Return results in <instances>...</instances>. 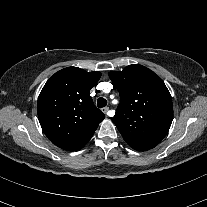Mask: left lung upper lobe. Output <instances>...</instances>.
<instances>
[{
    "label": "left lung upper lobe",
    "mask_w": 207,
    "mask_h": 207,
    "mask_svg": "<svg viewBox=\"0 0 207 207\" xmlns=\"http://www.w3.org/2000/svg\"><path fill=\"white\" fill-rule=\"evenodd\" d=\"M109 77L118 89L120 103L113 122L134 148L152 149L169 131L173 119L171 95L150 69L133 64Z\"/></svg>",
    "instance_id": "obj_1"
}]
</instances>
